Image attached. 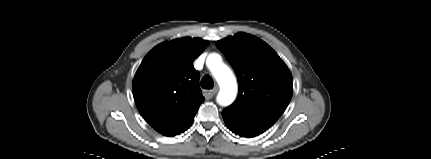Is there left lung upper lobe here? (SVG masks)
<instances>
[{
    "mask_svg": "<svg viewBox=\"0 0 431 159\" xmlns=\"http://www.w3.org/2000/svg\"><path fill=\"white\" fill-rule=\"evenodd\" d=\"M232 65L239 84L236 101L222 112L239 126L267 130L287 108L292 75L278 54L259 38L237 33L216 42Z\"/></svg>",
    "mask_w": 431,
    "mask_h": 159,
    "instance_id": "obj_1",
    "label": "left lung upper lobe"
}]
</instances>
